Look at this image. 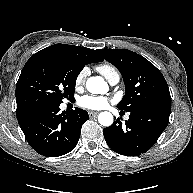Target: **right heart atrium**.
I'll list each match as a JSON object with an SVG mask.
<instances>
[{"label":"right heart atrium","mask_w":193,"mask_h":193,"mask_svg":"<svg viewBox=\"0 0 193 193\" xmlns=\"http://www.w3.org/2000/svg\"><path fill=\"white\" fill-rule=\"evenodd\" d=\"M87 74H88L87 68H82L79 71V73L77 74L76 79H75V85L77 87H80L84 84L86 77H87Z\"/></svg>","instance_id":"obj_1"}]
</instances>
